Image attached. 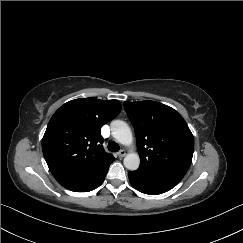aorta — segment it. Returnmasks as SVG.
Returning <instances> with one entry per match:
<instances>
[{
	"mask_svg": "<svg viewBox=\"0 0 243 243\" xmlns=\"http://www.w3.org/2000/svg\"><path fill=\"white\" fill-rule=\"evenodd\" d=\"M113 137L123 145H131L133 142L132 132L128 124L121 120H114L111 123ZM124 166L131 171L137 170L140 165V157L137 153H128L124 158Z\"/></svg>",
	"mask_w": 243,
	"mask_h": 243,
	"instance_id": "aorta-1",
	"label": "aorta"
}]
</instances>
